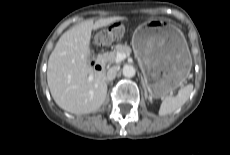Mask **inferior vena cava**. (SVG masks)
I'll return each instance as SVG.
<instances>
[{
	"label": "inferior vena cava",
	"instance_id": "602c4592",
	"mask_svg": "<svg viewBox=\"0 0 230 155\" xmlns=\"http://www.w3.org/2000/svg\"><path fill=\"white\" fill-rule=\"evenodd\" d=\"M116 73H117V68L116 67H113V68L109 69L108 72H107L106 79L108 81L113 80L115 78V76H116Z\"/></svg>",
	"mask_w": 230,
	"mask_h": 155
}]
</instances>
